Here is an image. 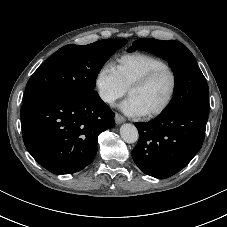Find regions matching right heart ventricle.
<instances>
[{
	"label": "right heart ventricle",
	"mask_w": 227,
	"mask_h": 227,
	"mask_svg": "<svg viewBox=\"0 0 227 227\" xmlns=\"http://www.w3.org/2000/svg\"><path fill=\"white\" fill-rule=\"evenodd\" d=\"M167 66L163 60L146 53H127L119 56L113 68L122 84L128 87L147 72Z\"/></svg>",
	"instance_id": "right-heart-ventricle-1"
}]
</instances>
